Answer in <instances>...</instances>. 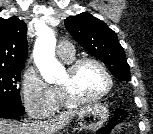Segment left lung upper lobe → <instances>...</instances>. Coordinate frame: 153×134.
Segmentation results:
<instances>
[{
    "instance_id": "left-lung-upper-lobe-1",
    "label": "left lung upper lobe",
    "mask_w": 153,
    "mask_h": 134,
    "mask_svg": "<svg viewBox=\"0 0 153 134\" xmlns=\"http://www.w3.org/2000/svg\"><path fill=\"white\" fill-rule=\"evenodd\" d=\"M65 27L88 52L104 62L120 81H131L130 68L116 33L103 21L83 12L65 19Z\"/></svg>"
}]
</instances>
